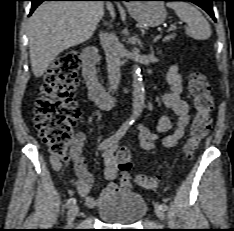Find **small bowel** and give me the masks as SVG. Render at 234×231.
Segmentation results:
<instances>
[{"instance_id": "obj_1", "label": "small bowel", "mask_w": 234, "mask_h": 231, "mask_svg": "<svg viewBox=\"0 0 234 231\" xmlns=\"http://www.w3.org/2000/svg\"><path fill=\"white\" fill-rule=\"evenodd\" d=\"M170 85V92L163 96L164 105L171 109L177 116V120L173 123L168 115H163L153 132L143 124H136V129L139 132V142L144 150L152 151L156 148L157 142L164 147H173L184 136L186 127L190 120L189 107L187 102L182 98L184 86L181 75L177 67L172 66L166 74ZM174 126V132L165 137H161L162 133L169 131ZM85 142V136L82 133H77L74 144L70 149L69 160L74 163L77 178L72 181L79 196L86 199L89 207L95 208L110 200L120 190H125L130 187L129 175L118 172L116 161V152L118 150V142L112 136H108L103 142L102 157L104 160V176L108 180V184L102 189L98 196H91L94 185V177L87 169L85 159L82 157V147ZM53 168L58 171L61 169V162L56 156L50 158ZM120 183H117V180Z\"/></svg>"}]
</instances>
